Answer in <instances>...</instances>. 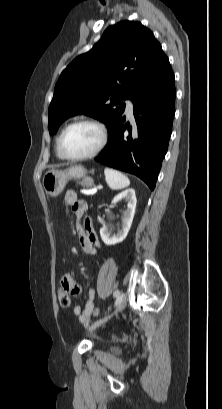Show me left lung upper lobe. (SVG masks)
Wrapping results in <instances>:
<instances>
[{
    "instance_id": "1",
    "label": "left lung upper lobe",
    "mask_w": 222,
    "mask_h": 409,
    "mask_svg": "<svg viewBox=\"0 0 222 409\" xmlns=\"http://www.w3.org/2000/svg\"><path fill=\"white\" fill-rule=\"evenodd\" d=\"M171 70L153 33L139 22L121 21L108 27L85 54L61 73L49 106V132L67 118L87 114L108 129L124 112V100Z\"/></svg>"
}]
</instances>
